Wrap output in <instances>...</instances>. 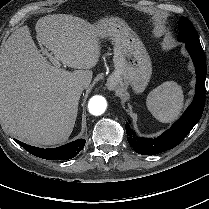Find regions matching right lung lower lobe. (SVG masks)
<instances>
[{"label":"right lung lower lobe","instance_id":"1","mask_svg":"<svg viewBox=\"0 0 209 209\" xmlns=\"http://www.w3.org/2000/svg\"><path fill=\"white\" fill-rule=\"evenodd\" d=\"M15 141L22 146L26 151L34 156L47 160H66L75 157L84 147L86 141L78 139L68 144L57 148L42 149L27 145L15 139Z\"/></svg>","mask_w":209,"mask_h":209}]
</instances>
